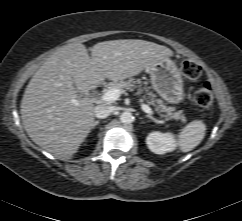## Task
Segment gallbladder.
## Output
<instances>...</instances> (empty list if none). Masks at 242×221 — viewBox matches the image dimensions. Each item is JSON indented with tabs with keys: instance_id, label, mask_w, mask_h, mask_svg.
Masks as SVG:
<instances>
[{
	"instance_id": "bac80fb5",
	"label": "gallbladder",
	"mask_w": 242,
	"mask_h": 221,
	"mask_svg": "<svg viewBox=\"0 0 242 221\" xmlns=\"http://www.w3.org/2000/svg\"><path fill=\"white\" fill-rule=\"evenodd\" d=\"M79 95H81L82 93L81 92H78Z\"/></svg>"
}]
</instances>
